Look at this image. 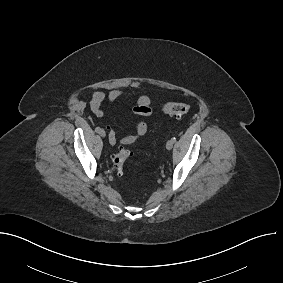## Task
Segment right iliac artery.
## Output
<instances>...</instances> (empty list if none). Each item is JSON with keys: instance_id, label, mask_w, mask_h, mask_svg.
I'll use <instances>...</instances> for the list:
<instances>
[{"instance_id": "obj_1", "label": "right iliac artery", "mask_w": 283, "mask_h": 283, "mask_svg": "<svg viewBox=\"0 0 283 283\" xmlns=\"http://www.w3.org/2000/svg\"><path fill=\"white\" fill-rule=\"evenodd\" d=\"M101 130H102V129H101L100 127H96V128H95V131H96L97 133H99Z\"/></svg>"}]
</instances>
